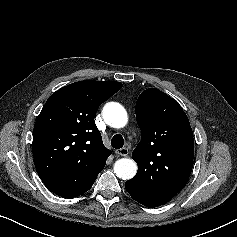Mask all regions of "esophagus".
Segmentation results:
<instances>
[{"instance_id":"1","label":"esophagus","mask_w":237,"mask_h":237,"mask_svg":"<svg viewBox=\"0 0 237 237\" xmlns=\"http://www.w3.org/2000/svg\"><path fill=\"white\" fill-rule=\"evenodd\" d=\"M116 154L120 155V156H127L129 154V150L127 148H121V149H117L115 151Z\"/></svg>"}]
</instances>
